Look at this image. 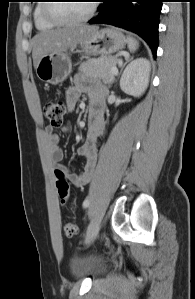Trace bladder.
Masks as SVG:
<instances>
[{
    "mask_svg": "<svg viewBox=\"0 0 195 299\" xmlns=\"http://www.w3.org/2000/svg\"><path fill=\"white\" fill-rule=\"evenodd\" d=\"M70 270L75 278L97 277L104 273V264L98 257L78 253L71 259Z\"/></svg>",
    "mask_w": 195,
    "mask_h": 299,
    "instance_id": "31cf9c89",
    "label": "bladder"
}]
</instances>
